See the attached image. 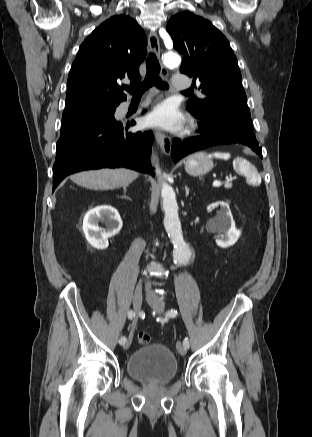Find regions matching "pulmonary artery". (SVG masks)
Returning <instances> with one entry per match:
<instances>
[{
	"label": "pulmonary artery",
	"mask_w": 312,
	"mask_h": 437,
	"mask_svg": "<svg viewBox=\"0 0 312 437\" xmlns=\"http://www.w3.org/2000/svg\"><path fill=\"white\" fill-rule=\"evenodd\" d=\"M172 85L177 89H187L191 86V80L185 74H175L172 78Z\"/></svg>",
	"instance_id": "1"
}]
</instances>
